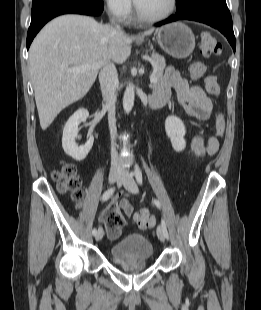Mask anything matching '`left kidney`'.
I'll return each instance as SVG.
<instances>
[{
	"mask_svg": "<svg viewBox=\"0 0 261 310\" xmlns=\"http://www.w3.org/2000/svg\"><path fill=\"white\" fill-rule=\"evenodd\" d=\"M165 131L172 147L176 152H181L186 147L184 139L186 129L182 120L176 116H168L165 120Z\"/></svg>",
	"mask_w": 261,
	"mask_h": 310,
	"instance_id": "5707ae66",
	"label": "left kidney"
}]
</instances>
